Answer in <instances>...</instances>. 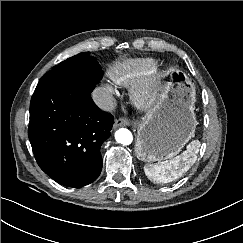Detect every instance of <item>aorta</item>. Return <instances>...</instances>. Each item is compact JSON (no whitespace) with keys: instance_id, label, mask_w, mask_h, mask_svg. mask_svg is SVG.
<instances>
[{"instance_id":"aorta-1","label":"aorta","mask_w":243,"mask_h":243,"mask_svg":"<svg viewBox=\"0 0 243 243\" xmlns=\"http://www.w3.org/2000/svg\"><path fill=\"white\" fill-rule=\"evenodd\" d=\"M115 139L122 145H130L133 141V135L130 130L126 128H120L115 133Z\"/></svg>"}]
</instances>
